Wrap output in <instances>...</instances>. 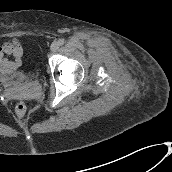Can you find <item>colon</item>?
I'll list each match as a JSON object with an SVG mask.
<instances>
[{
    "label": "colon",
    "instance_id": "obj_1",
    "mask_svg": "<svg viewBox=\"0 0 172 172\" xmlns=\"http://www.w3.org/2000/svg\"><path fill=\"white\" fill-rule=\"evenodd\" d=\"M16 110L18 113L23 114L27 110V105L23 100H19L16 103Z\"/></svg>",
    "mask_w": 172,
    "mask_h": 172
}]
</instances>
